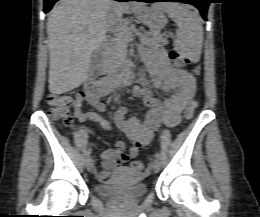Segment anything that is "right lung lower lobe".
Segmentation results:
<instances>
[{"mask_svg": "<svg viewBox=\"0 0 260 217\" xmlns=\"http://www.w3.org/2000/svg\"><path fill=\"white\" fill-rule=\"evenodd\" d=\"M58 0H44V13H47L53 6V4ZM117 1H133V0H117Z\"/></svg>", "mask_w": 260, "mask_h": 217, "instance_id": "98d812e1", "label": "right lung lower lobe"}]
</instances>
